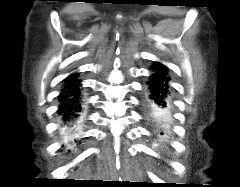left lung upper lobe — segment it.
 <instances>
[{
    "label": "left lung upper lobe",
    "mask_w": 240,
    "mask_h": 187,
    "mask_svg": "<svg viewBox=\"0 0 240 187\" xmlns=\"http://www.w3.org/2000/svg\"><path fill=\"white\" fill-rule=\"evenodd\" d=\"M155 123V122H154ZM160 129H162V130H168L169 129V125H168V123H166V124H160V123H155ZM160 134H164L163 132H161Z\"/></svg>",
    "instance_id": "5c2ea615"
}]
</instances>
